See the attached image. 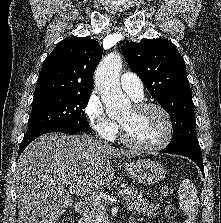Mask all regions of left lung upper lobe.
Returning <instances> with one entry per match:
<instances>
[{"mask_svg": "<svg viewBox=\"0 0 221 223\" xmlns=\"http://www.w3.org/2000/svg\"><path fill=\"white\" fill-rule=\"evenodd\" d=\"M121 50L131 69L171 117L173 136L168 146L199 145L186 66L174 44L161 38L145 39L125 43Z\"/></svg>", "mask_w": 221, "mask_h": 223, "instance_id": "obj_1", "label": "left lung upper lobe"}]
</instances>
